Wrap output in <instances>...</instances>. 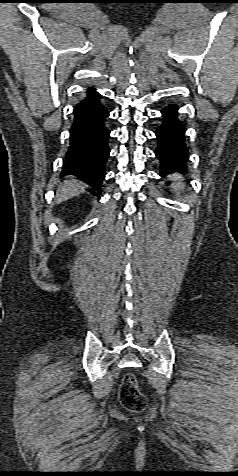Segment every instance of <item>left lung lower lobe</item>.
Wrapping results in <instances>:
<instances>
[{"instance_id":"left-lung-lower-lobe-1","label":"left lung lower lobe","mask_w":238,"mask_h":476,"mask_svg":"<svg viewBox=\"0 0 238 476\" xmlns=\"http://www.w3.org/2000/svg\"><path fill=\"white\" fill-rule=\"evenodd\" d=\"M178 106L170 104L162 109V123L155 131L158 141L155 150L160 161V175L186 172L188 148L185 143V125L178 118Z\"/></svg>"}]
</instances>
